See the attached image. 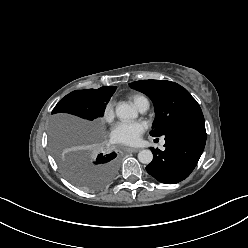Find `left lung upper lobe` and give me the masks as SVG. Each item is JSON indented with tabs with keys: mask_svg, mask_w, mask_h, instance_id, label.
<instances>
[{
	"mask_svg": "<svg viewBox=\"0 0 248 248\" xmlns=\"http://www.w3.org/2000/svg\"><path fill=\"white\" fill-rule=\"evenodd\" d=\"M146 94L153 102L156 117L150 135H166L184 120L202 114L197 101L177 83L161 80H140L129 84Z\"/></svg>",
	"mask_w": 248,
	"mask_h": 248,
	"instance_id": "left-lung-upper-lobe-1",
	"label": "left lung upper lobe"
}]
</instances>
